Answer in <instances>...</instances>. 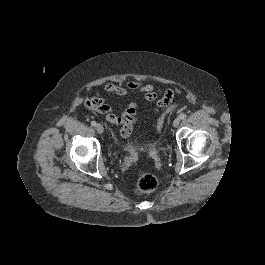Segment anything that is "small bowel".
Instances as JSON below:
<instances>
[{
  "label": "small bowel",
  "instance_id": "small-bowel-1",
  "mask_svg": "<svg viewBox=\"0 0 265 265\" xmlns=\"http://www.w3.org/2000/svg\"><path fill=\"white\" fill-rule=\"evenodd\" d=\"M103 90L107 93L117 96H126L130 92L142 94L145 100L156 101L157 108L166 107V102L163 97L157 99L155 88L151 84H144L139 81L129 80L125 85L107 83L103 86ZM85 105L94 112L105 114L106 120L110 124L128 127L132 131L133 125L138 122L137 104L132 102L120 114H116L113 108L103 98L91 96L85 99Z\"/></svg>",
  "mask_w": 265,
  "mask_h": 265
}]
</instances>
